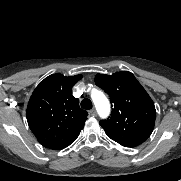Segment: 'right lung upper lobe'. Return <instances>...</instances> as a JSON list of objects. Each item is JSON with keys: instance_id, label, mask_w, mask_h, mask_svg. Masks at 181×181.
<instances>
[{"instance_id": "1", "label": "right lung upper lobe", "mask_w": 181, "mask_h": 181, "mask_svg": "<svg viewBox=\"0 0 181 181\" xmlns=\"http://www.w3.org/2000/svg\"><path fill=\"white\" fill-rule=\"evenodd\" d=\"M82 75L66 77L52 74L33 91L27 106V121L39 143L52 150H62L76 140L87 119L79 107L72 87Z\"/></svg>"}]
</instances>
